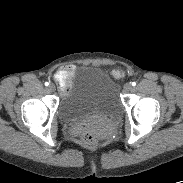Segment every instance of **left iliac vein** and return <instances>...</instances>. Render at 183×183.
<instances>
[{"instance_id":"obj_1","label":"left iliac vein","mask_w":183,"mask_h":183,"mask_svg":"<svg viewBox=\"0 0 183 183\" xmlns=\"http://www.w3.org/2000/svg\"><path fill=\"white\" fill-rule=\"evenodd\" d=\"M131 89H132V85H131L130 83H126V84L124 85V90H125L126 92H129Z\"/></svg>"}]
</instances>
